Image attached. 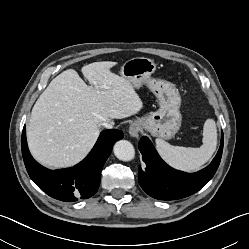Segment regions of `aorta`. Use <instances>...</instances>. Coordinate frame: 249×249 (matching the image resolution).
I'll return each instance as SVG.
<instances>
[{
    "instance_id": "762f6f07",
    "label": "aorta",
    "mask_w": 249,
    "mask_h": 249,
    "mask_svg": "<svg viewBox=\"0 0 249 249\" xmlns=\"http://www.w3.org/2000/svg\"><path fill=\"white\" fill-rule=\"evenodd\" d=\"M113 151L115 156L122 161H131L135 156L134 146L127 140L117 141Z\"/></svg>"
}]
</instances>
